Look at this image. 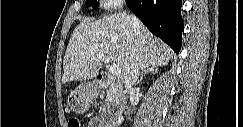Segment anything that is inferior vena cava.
Wrapping results in <instances>:
<instances>
[{
  "label": "inferior vena cava",
  "mask_w": 243,
  "mask_h": 127,
  "mask_svg": "<svg viewBox=\"0 0 243 127\" xmlns=\"http://www.w3.org/2000/svg\"><path fill=\"white\" fill-rule=\"evenodd\" d=\"M132 22L135 29L139 28V21L138 19L132 15ZM141 71V63L139 59L138 51L134 54L133 62L129 67L126 76H125V87L129 90L132 89L133 85L136 83L138 76Z\"/></svg>",
  "instance_id": "inferior-vena-cava-1"
}]
</instances>
